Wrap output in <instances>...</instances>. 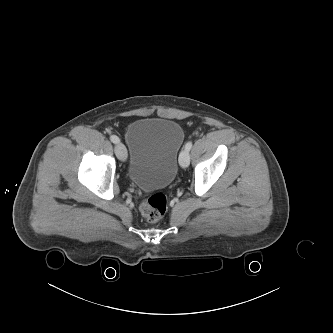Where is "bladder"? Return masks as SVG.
I'll return each instance as SVG.
<instances>
[{"label":"bladder","mask_w":333,"mask_h":333,"mask_svg":"<svg viewBox=\"0 0 333 333\" xmlns=\"http://www.w3.org/2000/svg\"><path fill=\"white\" fill-rule=\"evenodd\" d=\"M184 139L183 127L175 120L142 118L133 122L126 134L129 179L143 190L170 185Z\"/></svg>","instance_id":"31cf9c89"}]
</instances>
